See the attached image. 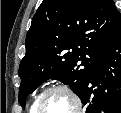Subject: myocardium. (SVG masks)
Listing matches in <instances>:
<instances>
[{
	"instance_id": "f54148a6",
	"label": "myocardium",
	"mask_w": 121,
	"mask_h": 113,
	"mask_svg": "<svg viewBox=\"0 0 121 113\" xmlns=\"http://www.w3.org/2000/svg\"><path fill=\"white\" fill-rule=\"evenodd\" d=\"M56 92H63L71 99V101L73 102V109L72 110H80L81 109L82 102H81L80 97L77 95V93L73 89H71L69 86L60 84V85H55V86L48 88L38 97V99L35 103V106L33 108L35 113H41L40 111L42 110L43 101L49 95L56 93ZM71 113H73V112H71Z\"/></svg>"
}]
</instances>
